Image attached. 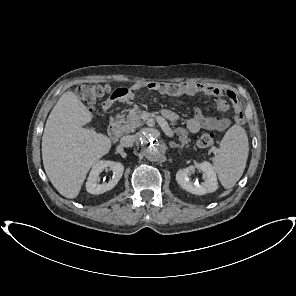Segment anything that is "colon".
I'll return each instance as SVG.
<instances>
[{
	"label": "colon",
	"mask_w": 296,
	"mask_h": 296,
	"mask_svg": "<svg viewBox=\"0 0 296 296\" xmlns=\"http://www.w3.org/2000/svg\"><path fill=\"white\" fill-rule=\"evenodd\" d=\"M125 89L120 88L115 90L112 94L122 95ZM110 93V88L107 85L90 84L81 85L77 89V95L82 102L89 108L90 111L95 110L96 103L105 95ZM215 136L212 133H204L199 138V145L201 147H210L214 144Z\"/></svg>",
	"instance_id": "colon-1"
}]
</instances>
